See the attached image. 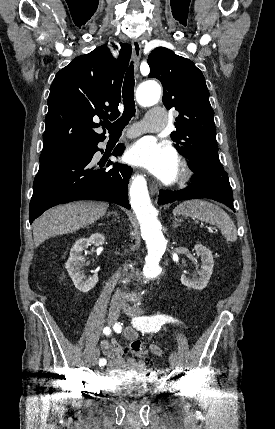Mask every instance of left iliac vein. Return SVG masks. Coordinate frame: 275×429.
<instances>
[{"label": "left iliac vein", "instance_id": "obj_1", "mask_svg": "<svg viewBox=\"0 0 275 429\" xmlns=\"http://www.w3.org/2000/svg\"><path fill=\"white\" fill-rule=\"evenodd\" d=\"M124 312L130 316L138 317L143 314V310L138 306H124ZM169 362L172 367H175L178 363V354L176 352H172L169 357Z\"/></svg>", "mask_w": 275, "mask_h": 429}]
</instances>
